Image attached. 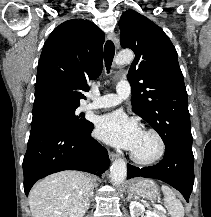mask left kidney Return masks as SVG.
Listing matches in <instances>:
<instances>
[{
    "label": "left kidney",
    "instance_id": "1",
    "mask_svg": "<svg viewBox=\"0 0 211 217\" xmlns=\"http://www.w3.org/2000/svg\"><path fill=\"white\" fill-rule=\"evenodd\" d=\"M130 214L131 217H159V215H157L155 212H151V211H145V208L142 204H140L137 201H132L130 203ZM145 212L146 216H142V214Z\"/></svg>",
    "mask_w": 211,
    "mask_h": 217
}]
</instances>
